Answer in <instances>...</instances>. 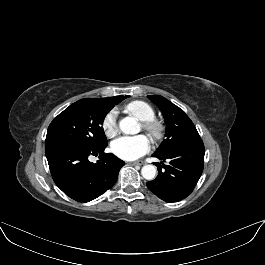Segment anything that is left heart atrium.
I'll return each mask as SVG.
<instances>
[{"mask_svg": "<svg viewBox=\"0 0 265 265\" xmlns=\"http://www.w3.org/2000/svg\"><path fill=\"white\" fill-rule=\"evenodd\" d=\"M112 152L124 160H136L150 149V141L145 135L122 136L112 142Z\"/></svg>", "mask_w": 265, "mask_h": 265, "instance_id": "obj_1", "label": "left heart atrium"}]
</instances>
